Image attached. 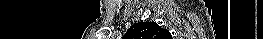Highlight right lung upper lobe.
Masks as SVG:
<instances>
[{
  "label": "right lung upper lobe",
  "instance_id": "1",
  "mask_svg": "<svg viewBox=\"0 0 263 39\" xmlns=\"http://www.w3.org/2000/svg\"><path fill=\"white\" fill-rule=\"evenodd\" d=\"M128 38L135 39H170L171 34L153 22H141L128 29Z\"/></svg>",
  "mask_w": 263,
  "mask_h": 39
}]
</instances>
